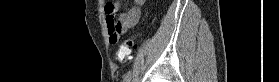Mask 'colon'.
I'll use <instances>...</instances> for the list:
<instances>
[{"label":"colon","instance_id":"5ec220e1","mask_svg":"<svg viewBox=\"0 0 279 82\" xmlns=\"http://www.w3.org/2000/svg\"><path fill=\"white\" fill-rule=\"evenodd\" d=\"M134 45L135 44L133 39H127L118 47L116 52V60L118 63L124 64L128 60V57Z\"/></svg>","mask_w":279,"mask_h":82}]
</instances>
